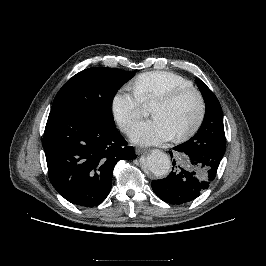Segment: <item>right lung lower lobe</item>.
Returning <instances> with one entry per match:
<instances>
[{
  "label": "right lung lower lobe",
  "instance_id": "98d812e1",
  "mask_svg": "<svg viewBox=\"0 0 266 266\" xmlns=\"http://www.w3.org/2000/svg\"><path fill=\"white\" fill-rule=\"evenodd\" d=\"M49 180L69 202L99 205L112 187L122 159H135L114 124L68 112H50L43 136Z\"/></svg>",
  "mask_w": 266,
  "mask_h": 266
}]
</instances>
